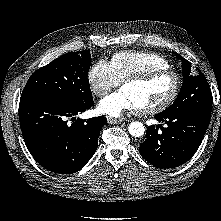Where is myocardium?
I'll return each instance as SVG.
<instances>
[{
	"instance_id": "obj_1",
	"label": "myocardium",
	"mask_w": 221,
	"mask_h": 221,
	"mask_svg": "<svg viewBox=\"0 0 221 221\" xmlns=\"http://www.w3.org/2000/svg\"><path fill=\"white\" fill-rule=\"evenodd\" d=\"M171 76L173 78V89L166 99L157 105L140 108L143 114H157L167 109L178 97L181 88L180 75L171 68L152 69L136 75L129 76L122 81V87L131 83H147L161 76Z\"/></svg>"
}]
</instances>
